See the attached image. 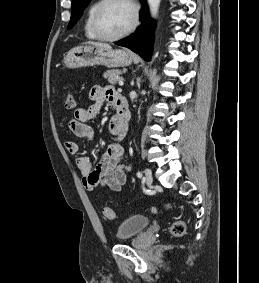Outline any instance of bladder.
I'll return each mask as SVG.
<instances>
[{
    "label": "bladder",
    "instance_id": "31cf9c89",
    "mask_svg": "<svg viewBox=\"0 0 259 283\" xmlns=\"http://www.w3.org/2000/svg\"><path fill=\"white\" fill-rule=\"evenodd\" d=\"M150 223L151 220L146 216H130L118 226L116 239L119 241L131 239L147 229Z\"/></svg>",
    "mask_w": 259,
    "mask_h": 283
}]
</instances>
